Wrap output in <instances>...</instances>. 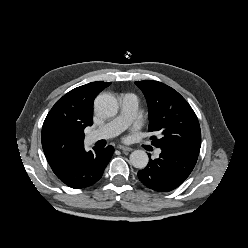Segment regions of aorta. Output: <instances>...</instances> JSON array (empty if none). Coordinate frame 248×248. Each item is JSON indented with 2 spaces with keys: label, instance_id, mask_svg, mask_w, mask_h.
<instances>
[{
  "label": "aorta",
  "instance_id": "1",
  "mask_svg": "<svg viewBox=\"0 0 248 248\" xmlns=\"http://www.w3.org/2000/svg\"><path fill=\"white\" fill-rule=\"evenodd\" d=\"M94 108L101 117H112L118 112V101L111 94H101L96 97ZM148 155L144 150H135L130 154V163L135 168L143 169L148 164Z\"/></svg>",
  "mask_w": 248,
  "mask_h": 248
}]
</instances>
